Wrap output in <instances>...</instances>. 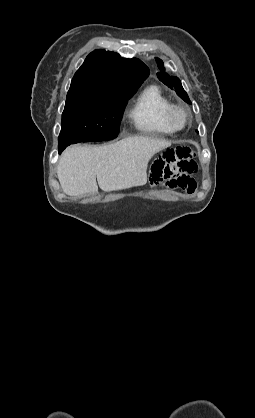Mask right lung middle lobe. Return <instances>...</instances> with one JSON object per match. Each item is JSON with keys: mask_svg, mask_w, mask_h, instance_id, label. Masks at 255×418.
Masks as SVG:
<instances>
[{"mask_svg": "<svg viewBox=\"0 0 255 418\" xmlns=\"http://www.w3.org/2000/svg\"><path fill=\"white\" fill-rule=\"evenodd\" d=\"M136 92L69 90L62 114L59 145L106 141L117 137L123 111Z\"/></svg>", "mask_w": 255, "mask_h": 418, "instance_id": "right-lung-middle-lobe-1", "label": "right lung middle lobe"}]
</instances>
